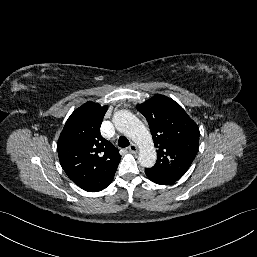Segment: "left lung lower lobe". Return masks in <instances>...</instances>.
<instances>
[{
	"instance_id": "1",
	"label": "left lung lower lobe",
	"mask_w": 257,
	"mask_h": 257,
	"mask_svg": "<svg viewBox=\"0 0 257 257\" xmlns=\"http://www.w3.org/2000/svg\"><path fill=\"white\" fill-rule=\"evenodd\" d=\"M146 175L148 176V178L153 181L154 183L156 184H160V185H169V184H172L174 183V181H170V180H167L165 178H162L160 176H157V175H154L152 173H149L147 171H145Z\"/></svg>"
}]
</instances>
